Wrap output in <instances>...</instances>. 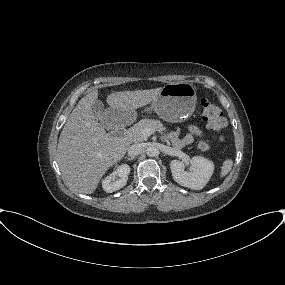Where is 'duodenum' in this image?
Instances as JSON below:
<instances>
[{
	"label": "duodenum",
	"instance_id": "obj_1",
	"mask_svg": "<svg viewBox=\"0 0 285 285\" xmlns=\"http://www.w3.org/2000/svg\"><path fill=\"white\" fill-rule=\"evenodd\" d=\"M112 129L116 132V133H121L122 128L118 125H113Z\"/></svg>",
	"mask_w": 285,
	"mask_h": 285
}]
</instances>
